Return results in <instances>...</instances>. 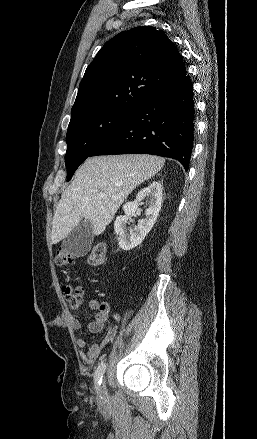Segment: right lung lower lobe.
<instances>
[{
  "label": "right lung lower lobe",
  "instance_id": "1",
  "mask_svg": "<svg viewBox=\"0 0 257 439\" xmlns=\"http://www.w3.org/2000/svg\"><path fill=\"white\" fill-rule=\"evenodd\" d=\"M185 75L146 99L92 151L153 154L178 160L187 171L194 140V101Z\"/></svg>",
  "mask_w": 257,
  "mask_h": 439
}]
</instances>
